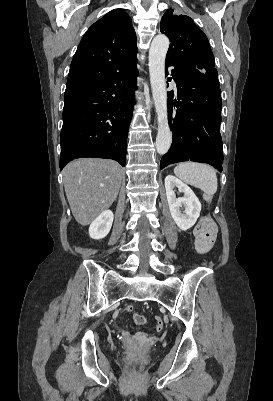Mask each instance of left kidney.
<instances>
[{
    "label": "left kidney",
    "mask_w": 273,
    "mask_h": 401,
    "mask_svg": "<svg viewBox=\"0 0 273 401\" xmlns=\"http://www.w3.org/2000/svg\"><path fill=\"white\" fill-rule=\"evenodd\" d=\"M174 186H177L181 192H184V196L176 198V194L173 190ZM165 188L167 201L173 221H175L177 227L181 231H187L190 227L195 225L201 211V203L193 190L184 184L182 180L168 174L165 178ZM181 207H184L185 211H180Z\"/></svg>",
    "instance_id": "obj_1"
}]
</instances>
